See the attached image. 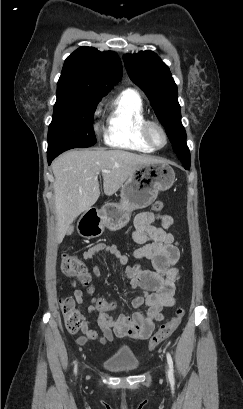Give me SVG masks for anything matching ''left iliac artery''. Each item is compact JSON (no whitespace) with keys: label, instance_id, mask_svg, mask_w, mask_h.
Wrapping results in <instances>:
<instances>
[{"label":"left iliac artery","instance_id":"left-iliac-artery-1","mask_svg":"<svg viewBox=\"0 0 243 409\" xmlns=\"http://www.w3.org/2000/svg\"><path fill=\"white\" fill-rule=\"evenodd\" d=\"M166 357L169 365L168 377L170 381L174 382L173 360L170 353H167Z\"/></svg>","mask_w":243,"mask_h":409}]
</instances>
